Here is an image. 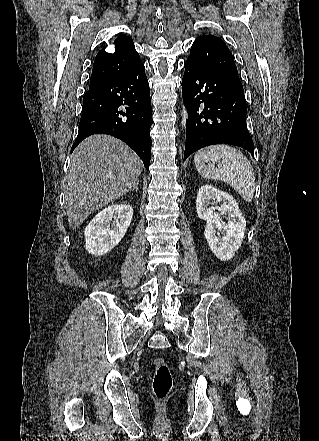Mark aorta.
<instances>
[{"label": "aorta", "mask_w": 319, "mask_h": 441, "mask_svg": "<svg viewBox=\"0 0 319 441\" xmlns=\"http://www.w3.org/2000/svg\"><path fill=\"white\" fill-rule=\"evenodd\" d=\"M188 118L187 112L185 110V108H183L182 110V127L186 125V120Z\"/></svg>", "instance_id": "1"}]
</instances>
